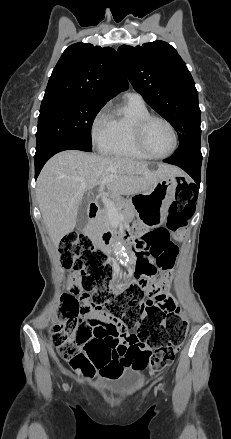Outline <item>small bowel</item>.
Here are the masks:
<instances>
[{"label": "small bowel", "mask_w": 231, "mask_h": 439, "mask_svg": "<svg viewBox=\"0 0 231 439\" xmlns=\"http://www.w3.org/2000/svg\"><path fill=\"white\" fill-rule=\"evenodd\" d=\"M179 234H173L167 228H158L145 233L139 240L136 256L138 263L143 262L153 265L159 256L169 249H175L174 239L179 238ZM137 263V264H138ZM71 292L78 291L83 306L80 309L81 322L91 330V344H101L111 348L120 360H126L131 352H148L149 349L140 343L137 335L129 333L127 328L120 322L111 319L102 308L90 305V295L80 290L81 276L79 273L72 275ZM156 284V290H149L148 294L152 299L146 302L147 306L157 305L164 310L173 309L176 306L175 299L168 294L171 278L166 275L160 280H152ZM121 285H117L115 291H120ZM126 367H132L131 362Z\"/></svg>", "instance_id": "small-bowel-1"}]
</instances>
